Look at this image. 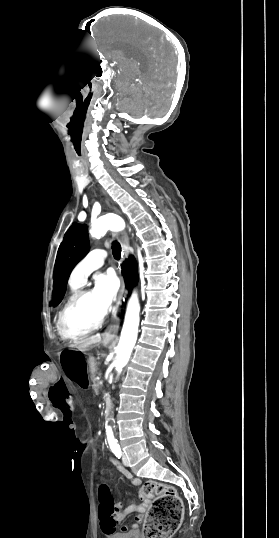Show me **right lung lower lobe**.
<instances>
[{
	"mask_svg": "<svg viewBox=\"0 0 279 538\" xmlns=\"http://www.w3.org/2000/svg\"><path fill=\"white\" fill-rule=\"evenodd\" d=\"M122 273L125 278L126 286L131 290L132 286L137 282V267L135 261L129 259L122 265Z\"/></svg>",
	"mask_w": 279,
	"mask_h": 538,
	"instance_id": "right-lung-lower-lobe-1",
	"label": "right lung lower lobe"
}]
</instances>
